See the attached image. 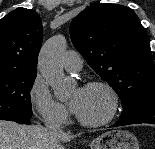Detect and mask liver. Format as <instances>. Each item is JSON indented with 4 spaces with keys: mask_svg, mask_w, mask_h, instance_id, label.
<instances>
[{
    "mask_svg": "<svg viewBox=\"0 0 155 149\" xmlns=\"http://www.w3.org/2000/svg\"><path fill=\"white\" fill-rule=\"evenodd\" d=\"M70 133H50L39 125H19L0 120V149H65L62 142L74 139Z\"/></svg>",
    "mask_w": 155,
    "mask_h": 149,
    "instance_id": "6515ba94",
    "label": "liver"
}]
</instances>
